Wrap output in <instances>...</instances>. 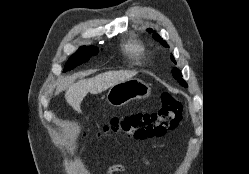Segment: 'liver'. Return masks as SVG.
Returning a JSON list of instances; mask_svg holds the SVG:
<instances>
[{
  "label": "liver",
  "mask_w": 249,
  "mask_h": 174,
  "mask_svg": "<svg viewBox=\"0 0 249 174\" xmlns=\"http://www.w3.org/2000/svg\"><path fill=\"white\" fill-rule=\"evenodd\" d=\"M136 74L135 71L127 70L108 71L93 78L81 80L68 88L65 99L73 109L78 111L82 100L88 93H101L115 84L131 79Z\"/></svg>",
  "instance_id": "liver-1"
}]
</instances>
